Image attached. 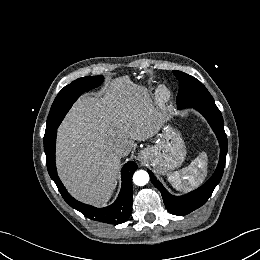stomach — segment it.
Masks as SVG:
<instances>
[{
	"mask_svg": "<svg viewBox=\"0 0 260 260\" xmlns=\"http://www.w3.org/2000/svg\"><path fill=\"white\" fill-rule=\"evenodd\" d=\"M154 141L155 144L149 146L146 152L155 169L163 173L178 168L183 163L186 156L184 143L170 126L164 127Z\"/></svg>",
	"mask_w": 260,
	"mask_h": 260,
	"instance_id": "1",
	"label": "stomach"
}]
</instances>
